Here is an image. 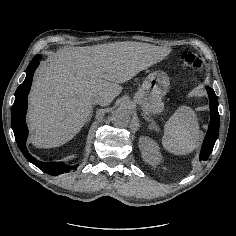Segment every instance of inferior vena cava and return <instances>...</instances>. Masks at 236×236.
I'll list each match as a JSON object with an SVG mask.
<instances>
[{"label":"inferior vena cava","mask_w":236,"mask_h":236,"mask_svg":"<svg viewBox=\"0 0 236 236\" xmlns=\"http://www.w3.org/2000/svg\"><path fill=\"white\" fill-rule=\"evenodd\" d=\"M109 101V99L108 98H100L99 100H95L94 101V104H100L101 105V103H106V102H108Z\"/></svg>","instance_id":"inferior-vena-cava-1"}]
</instances>
